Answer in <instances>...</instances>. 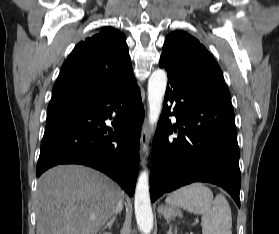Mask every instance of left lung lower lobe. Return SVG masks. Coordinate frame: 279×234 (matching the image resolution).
<instances>
[{
    "label": "left lung lower lobe",
    "instance_id": "0a47b994",
    "mask_svg": "<svg viewBox=\"0 0 279 234\" xmlns=\"http://www.w3.org/2000/svg\"><path fill=\"white\" fill-rule=\"evenodd\" d=\"M160 67L167 71L168 85L153 143L151 201L202 181L224 188L240 207V153L227 86L184 71L163 57ZM170 115L176 124H171ZM173 131H178L177 138H169Z\"/></svg>",
    "mask_w": 279,
    "mask_h": 234
}]
</instances>
